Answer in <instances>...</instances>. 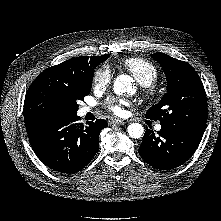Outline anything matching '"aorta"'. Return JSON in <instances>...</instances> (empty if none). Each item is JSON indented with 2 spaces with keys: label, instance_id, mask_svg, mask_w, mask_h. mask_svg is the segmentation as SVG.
<instances>
[{
  "label": "aorta",
  "instance_id": "1",
  "mask_svg": "<svg viewBox=\"0 0 221 221\" xmlns=\"http://www.w3.org/2000/svg\"><path fill=\"white\" fill-rule=\"evenodd\" d=\"M132 78L128 75H119L114 82V92L116 94H122L130 90ZM127 132L130 137L139 139L144 133V128L139 123H131L127 127Z\"/></svg>",
  "mask_w": 221,
  "mask_h": 221
}]
</instances>
